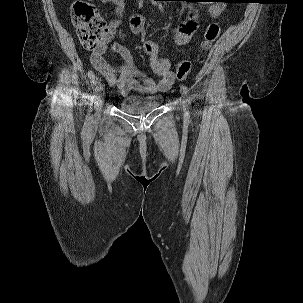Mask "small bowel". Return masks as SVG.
I'll list each match as a JSON object with an SVG mask.
<instances>
[{"label": "small bowel", "instance_id": "c3829d8e", "mask_svg": "<svg viewBox=\"0 0 303 303\" xmlns=\"http://www.w3.org/2000/svg\"><path fill=\"white\" fill-rule=\"evenodd\" d=\"M102 4H111L114 8L115 18L109 22V37L120 26L121 19L126 8V0H100ZM208 8V15L216 18L223 13L225 5L221 0L211 1ZM198 14L190 5L187 18L175 31V43L178 46L186 45L195 34L198 28ZM145 18L140 14H133L130 18L131 31L140 36H144ZM145 54L148 56L149 67L157 76L161 77L159 82L145 76L134 64L131 53L124 47L112 45L111 48L117 52L123 63L114 66L108 63L103 54L110 46L109 38L96 47L90 54L89 60L92 67L98 71L112 87L117 88L121 93L126 94L130 91L151 94L158 91H167L174 82V73L170 70V61L160 56V47L153 40H143Z\"/></svg>", "mask_w": 303, "mask_h": 303}]
</instances>
